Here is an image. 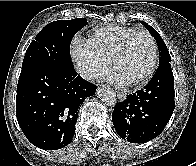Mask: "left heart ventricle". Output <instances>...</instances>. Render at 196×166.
I'll use <instances>...</instances> for the list:
<instances>
[{
    "label": "left heart ventricle",
    "instance_id": "left-heart-ventricle-1",
    "mask_svg": "<svg viewBox=\"0 0 196 166\" xmlns=\"http://www.w3.org/2000/svg\"><path fill=\"white\" fill-rule=\"evenodd\" d=\"M152 62V47L147 36L136 34L128 44L123 57L116 63L114 70L127 82L142 76Z\"/></svg>",
    "mask_w": 196,
    "mask_h": 166
}]
</instances>
